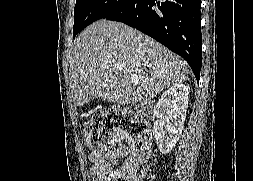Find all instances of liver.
<instances>
[{"label": "liver", "mask_w": 253, "mask_h": 181, "mask_svg": "<svg viewBox=\"0 0 253 181\" xmlns=\"http://www.w3.org/2000/svg\"><path fill=\"white\" fill-rule=\"evenodd\" d=\"M69 64L76 106L94 98L119 105L139 104L182 84L189 74L181 57L151 37L105 19L88 26L74 40Z\"/></svg>", "instance_id": "liver-1"}]
</instances>
